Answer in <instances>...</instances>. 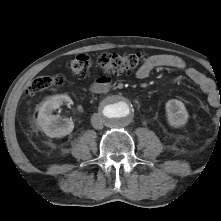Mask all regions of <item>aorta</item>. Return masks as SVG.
<instances>
[{
  "instance_id": "762f6f07",
  "label": "aorta",
  "mask_w": 221,
  "mask_h": 221,
  "mask_svg": "<svg viewBox=\"0 0 221 221\" xmlns=\"http://www.w3.org/2000/svg\"><path fill=\"white\" fill-rule=\"evenodd\" d=\"M134 113L132 103L123 96H114L106 100L102 107L104 122L112 127L127 125Z\"/></svg>"
}]
</instances>
